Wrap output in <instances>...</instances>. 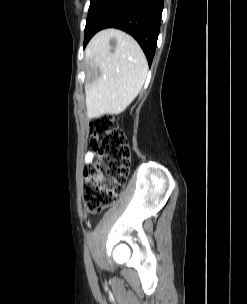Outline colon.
<instances>
[{"instance_id": "obj_1", "label": "colon", "mask_w": 247, "mask_h": 304, "mask_svg": "<svg viewBox=\"0 0 247 304\" xmlns=\"http://www.w3.org/2000/svg\"><path fill=\"white\" fill-rule=\"evenodd\" d=\"M89 135L97 160L85 170L83 197L88 210L96 213L113 204L122 192L130 170V149L110 114L92 120Z\"/></svg>"}]
</instances>
